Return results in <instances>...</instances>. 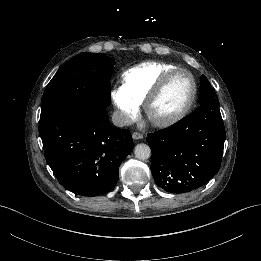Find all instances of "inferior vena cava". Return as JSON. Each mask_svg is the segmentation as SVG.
I'll list each match as a JSON object with an SVG mask.
<instances>
[{
  "instance_id": "inferior-vena-cava-1",
  "label": "inferior vena cava",
  "mask_w": 261,
  "mask_h": 261,
  "mask_svg": "<svg viewBox=\"0 0 261 261\" xmlns=\"http://www.w3.org/2000/svg\"><path fill=\"white\" fill-rule=\"evenodd\" d=\"M112 122L117 127H124L131 124L130 118L119 110L113 112Z\"/></svg>"
}]
</instances>
